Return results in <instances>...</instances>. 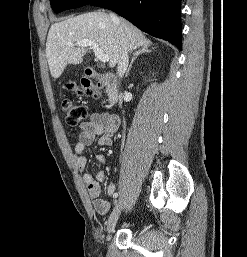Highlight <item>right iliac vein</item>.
I'll use <instances>...</instances> for the list:
<instances>
[{
    "label": "right iliac vein",
    "instance_id": "right-iliac-vein-1",
    "mask_svg": "<svg viewBox=\"0 0 247 257\" xmlns=\"http://www.w3.org/2000/svg\"><path fill=\"white\" fill-rule=\"evenodd\" d=\"M123 209V201L121 198H119L117 201H116V205L108 219V223H107V233L110 234L113 232L115 226H116V223L118 221V218L121 214V211Z\"/></svg>",
    "mask_w": 247,
    "mask_h": 257
}]
</instances>
